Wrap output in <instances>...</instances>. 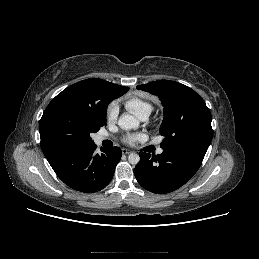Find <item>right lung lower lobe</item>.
Here are the masks:
<instances>
[{
	"mask_svg": "<svg viewBox=\"0 0 259 259\" xmlns=\"http://www.w3.org/2000/svg\"><path fill=\"white\" fill-rule=\"evenodd\" d=\"M96 147L93 143L59 149L47 160L66 185L77 191L94 193L110 183L122 156L119 147L101 148V154L95 152Z\"/></svg>",
	"mask_w": 259,
	"mask_h": 259,
	"instance_id": "right-lung-lower-lobe-1",
	"label": "right lung lower lobe"
}]
</instances>
